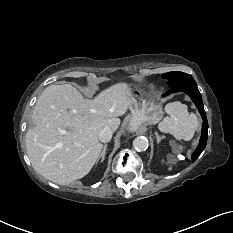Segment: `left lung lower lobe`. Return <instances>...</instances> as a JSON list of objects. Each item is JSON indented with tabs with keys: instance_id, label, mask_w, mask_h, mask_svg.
Segmentation results:
<instances>
[{
	"instance_id": "obj_1",
	"label": "left lung lower lobe",
	"mask_w": 233,
	"mask_h": 233,
	"mask_svg": "<svg viewBox=\"0 0 233 233\" xmlns=\"http://www.w3.org/2000/svg\"><path fill=\"white\" fill-rule=\"evenodd\" d=\"M178 91H183L185 93H187L192 101L195 103V105L197 106L202 119H203V125H202V135L200 138V142L199 145L197 147V149L195 150V152L192 154V160L195 161L199 155L202 153V151L204 150V148L206 147V143H207V130H208V122L206 119V112L204 110V106H203V102H202V97L201 94L197 88L196 82H184V83H180L177 84L173 87H170V89L168 90V92H166L163 96H167L170 93H175Z\"/></svg>"
}]
</instances>
